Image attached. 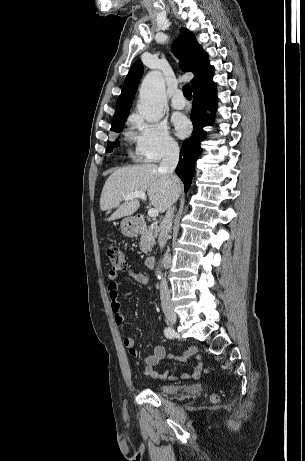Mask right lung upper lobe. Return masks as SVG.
Listing matches in <instances>:
<instances>
[{"instance_id":"1","label":"right lung upper lobe","mask_w":305,"mask_h":461,"mask_svg":"<svg viewBox=\"0 0 305 461\" xmlns=\"http://www.w3.org/2000/svg\"><path fill=\"white\" fill-rule=\"evenodd\" d=\"M172 49L180 60L181 69L194 73V78L191 80L192 88L213 75L214 68L209 65L208 55L202 50L194 34L188 29L182 28L180 30V36L174 41ZM142 74L143 65L138 60L132 65L126 76L111 124L127 119Z\"/></svg>"}]
</instances>
